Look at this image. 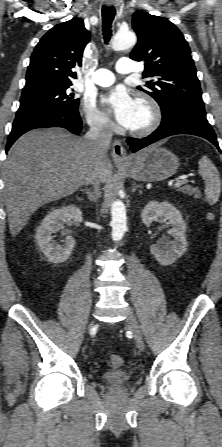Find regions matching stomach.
Returning a JSON list of instances; mask_svg holds the SVG:
<instances>
[{
	"label": "stomach",
	"instance_id": "1",
	"mask_svg": "<svg viewBox=\"0 0 222 447\" xmlns=\"http://www.w3.org/2000/svg\"><path fill=\"white\" fill-rule=\"evenodd\" d=\"M119 169L138 181H160L173 176L179 168V159L170 150L157 145L149 146L128 156Z\"/></svg>",
	"mask_w": 222,
	"mask_h": 447
}]
</instances>
